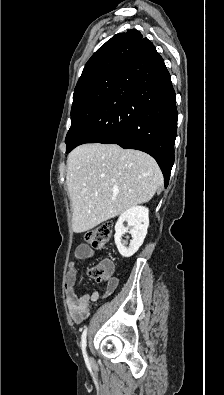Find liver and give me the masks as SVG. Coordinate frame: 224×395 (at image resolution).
Instances as JSON below:
<instances>
[{
	"instance_id": "1",
	"label": "liver",
	"mask_w": 224,
	"mask_h": 395,
	"mask_svg": "<svg viewBox=\"0 0 224 395\" xmlns=\"http://www.w3.org/2000/svg\"><path fill=\"white\" fill-rule=\"evenodd\" d=\"M67 165L75 233L150 201L163 184L161 170L150 155L115 144L78 146L68 155Z\"/></svg>"
}]
</instances>
